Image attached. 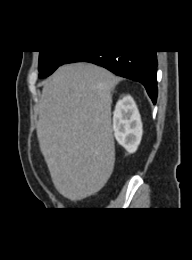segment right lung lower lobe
<instances>
[{"mask_svg": "<svg viewBox=\"0 0 192 260\" xmlns=\"http://www.w3.org/2000/svg\"><path fill=\"white\" fill-rule=\"evenodd\" d=\"M90 62L105 67L116 75L138 81L144 85L153 103L157 100L156 51H80L71 52L63 64Z\"/></svg>", "mask_w": 192, "mask_h": 260, "instance_id": "obj_1", "label": "right lung lower lobe"}]
</instances>
